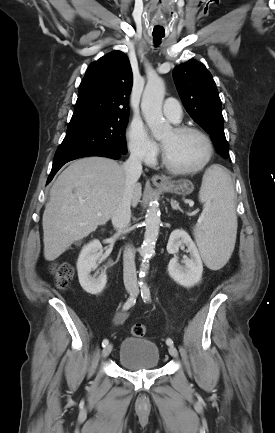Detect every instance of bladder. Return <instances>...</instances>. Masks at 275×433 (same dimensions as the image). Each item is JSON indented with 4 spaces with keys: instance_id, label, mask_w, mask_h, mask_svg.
<instances>
[{
    "instance_id": "31cf9c89",
    "label": "bladder",
    "mask_w": 275,
    "mask_h": 433,
    "mask_svg": "<svg viewBox=\"0 0 275 433\" xmlns=\"http://www.w3.org/2000/svg\"><path fill=\"white\" fill-rule=\"evenodd\" d=\"M159 360L158 346L148 339L128 337L120 345L118 362L130 371L155 369L159 366Z\"/></svg>"
}]
</instances>
